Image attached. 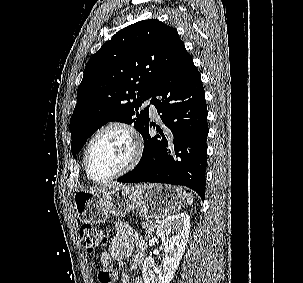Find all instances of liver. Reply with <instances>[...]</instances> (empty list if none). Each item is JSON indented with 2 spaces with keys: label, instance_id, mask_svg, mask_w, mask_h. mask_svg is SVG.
I'll use <instances>...</instances> for the list:
<instances>
[{
  "label": "liver",
  "instance_id": "1",
  "mask_svg": "<svg viewBox=\"0 0 303 283\" xmlns=\"http://www.w3.org/2000/svg\"><path fill=\"white\" fill-rule=\"evenodd\" d=\"M121 186H125L123 184H119V183H109V184H104L101 185L99 187H92L90 189H87V191L91 192V193H102L108 189H112V188H116V187H121Z\"/></svg>",
  "mask_w": 303,
  "mask_h": 283
}]
</instances>
